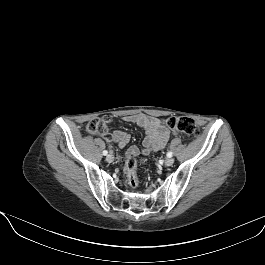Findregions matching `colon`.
<instances>
[{"mask_svg": "<svg viewBox=\"0 0 265 265\" xmlns=\"http://www.w3.org/2000/svg\"><path fill=\"white\" fill-rule=\"evenodd\" d=\"M112 121L111 116L107 115L102 118L91 120L87 124V131L91 134H106L109 132V125ZM163 124L171 129L178 130L186 135L198 137L200 130L195 121L189 117L173 116L165 119ZM137 160L135 157H129L125 163L124 171L127 177V182L130 187L136 188L139 184L137 178Z\"/></svg>", "mask_w": 265, "mask_h": 265, "instance_id": "1", "label": "colon"}]
</instances>
